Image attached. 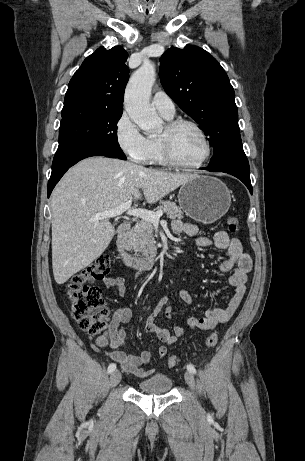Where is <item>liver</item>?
Segmentation results:
<instances>
[{"mask_svg":"<svg viewBox=\"0 0 305 461\" xmlns=\"http://www.w3.org/2000/svg\"><path fill=\"white\" fill-rule=\"evenodd\" d=\"M195 175L145 168L128 161L90 157L70 168L51 195L52 268L57 284L86 268L107 248L115 234L98 213L130 199L153 204Z\"/></svg>","mask_w":305,"mask_h":461,"instance_id":"obj_1","label":"liver"}]
</instances>
